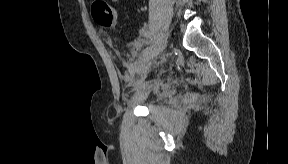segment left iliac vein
<instances>
[{
    "mask_svg": "<svg viewBox=\"0 0 288 164\" xmlns=\"http://www.w3.org/2000/svg\"><path fill=\"white\" fill-rule=\"evenodd\" d=\"M168 36H169L168 33H164L159 37V39H158V41L154 47V50H153L151 57L147 61L142 63V65L140 67V71H139L140 74L146 73L149 70V68L151 67V65L156 63L160 54L164 51V49L167 46Z\"/></svg>",
    "mask_w": 288,
    "mask_h": 164,
    "instance_id": "left-iliac-vein-1",
    "label": "left iliac vein"
}]
</instances>
